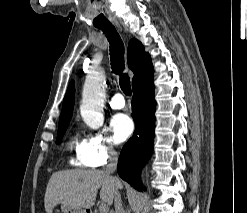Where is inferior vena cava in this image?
Instances as JSON below:
<instances>
[{
    "label": "inferior vena cava",
    "mask_w": 247,
    "mask_h": 213,
    "mask_svg": "<svg viewBox=\"0 0 247 213\" xmlns=\"http://www.w3.org/2000/svg\"><path fill=\"white\" fill-rule=\"evenodd\" d=\"M108 153H109V163L106 166V173L113 174L117 168L118 154L112 147L109 148ZM113 180L116 184V190L114 193L115 213H124V209L122 207L121 196H120V193L118 191L120 181L117 177H113Z\"/></svg>",
    "instance_id": "1"
}]
</instances>
